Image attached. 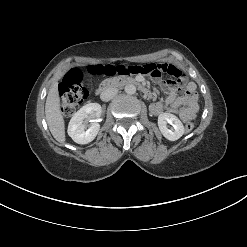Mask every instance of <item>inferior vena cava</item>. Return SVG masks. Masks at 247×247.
<instances>
[{"instance_id":"1","label":"inferior vena cava","mask_w":247,"mask_h":247,"mask_svg":"<svg viewBox=\"0 0 247 247\" xmlns=\"http://www.w3.org/2000/svg\"><path fill=\"white\" fill-rule=\"evenodd\" d=\"M118 93L117 88H106L105 90L102 91L100 98L102 101H109L111 100L114 96H116Z\"/></svg>"}]
</instances>
